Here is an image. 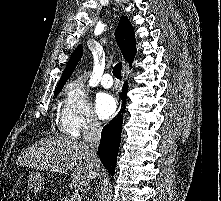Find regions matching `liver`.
Listing matches in <instances>:
<instances>
[{
    "label": "liver",
    "instance_id": "6515ba94",
    "mask_svg": "<svg viewBox=\"0 0 221 201\" xmlns=\"http://www.w3.org/2000/svg\"><path fill=\"white\" fill-rule=\"evenodd\" d=\"M18 162L20 165L60 173L73 169L71 180L79 186H87L94 179L89 146L84 141L46 137L28 147Z\"/></svg>",
    "mask_w": 221,
    "mask_h": 201
}]
</instances>
